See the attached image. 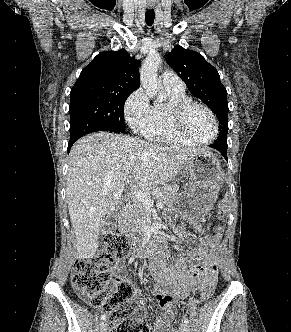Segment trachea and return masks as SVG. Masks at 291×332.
Masks as SVG:
<instances>
[{"label": "trachea", "instance_id": "3493384b", "mask_svg": "<svg viewBox=\"0 0 291 332\" xmlns=\"http://www.w3.org/2000/svg\"><path fill=\"white\" fill-rule=\"evenodd\" d=\"M155 14L154 9H148L145 14V21L148 26H151L154 22Z\"/></svg>", "mask_w": 291, "mask_h": 332}]
</instances>
